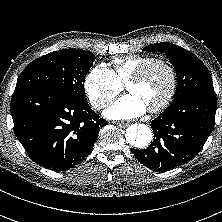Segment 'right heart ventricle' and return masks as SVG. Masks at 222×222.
<instances>
[{
	"instance_id": "right-heart-ventricle-1",
	"label": "right heart ventricle",
	"mask_w": 222,
	"mask_h": 222,
	"mask_svg": "<svg viewBox=\"0 0 222 222\" xmlns=\"http://www.w3.org/2000/svg\"><path fill=\"white\" fill-rule=\"evenodd\" d=\"M153 59L154 57L149 55H130L116 58L112 61L113 73L120 83H125L139 67Z\"/></svg>"
}]
</instances>
